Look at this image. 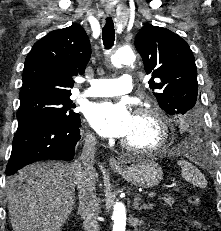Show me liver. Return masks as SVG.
<instances>
[{"label": "liver", "instance_id": "liver-1", "mask_svg": "<svg viewBox=\"0 0 221 231\" xmlns=\"http://www.w3.org/2000/svg\"><path fill=\"white\" fill-rule=\"evenodd\" d=\"M98 177V176H97ZM74 163H36L6 181L13 231H61L75 206Z\"/></svg>", "mask_w": 221, "mask_h": 231}]
</instances>
